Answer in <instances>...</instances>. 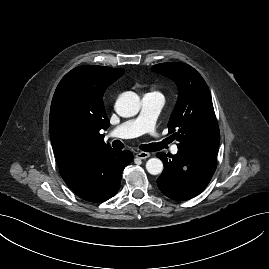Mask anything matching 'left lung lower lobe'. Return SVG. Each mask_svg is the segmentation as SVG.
Here are the masks:
<instances>
[{
    "instance_id": "obj_1",
    "label": "left lung lower lobe",
    "mask_w": 269,
    "mask_h": 269,
    "mask_svg": "<svg viewBox=\"0 0 269 269\" xmlns=\"http://www.w3.org/2000/svg\"><path fill=\"white\" fill-rule=\"evenodd\" d=\"M219 146L197 149H180L176 155L157 153L164 170L157 179L160 191L167 197L184 201L201 193L210 182L217 166Z\"/></svg>"
}]
</instances>
